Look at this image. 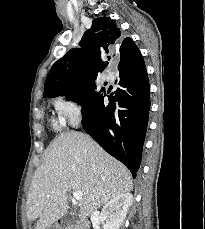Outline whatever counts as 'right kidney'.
Wrapping results in <instances>:
<instances>
[{
  "mask_svg": "<svg viewBox=\"0 0 205 229\" xmlns=\"http://www.w3.org/2000/svg\"><path fill=\"white\" fill-rule=\"evenodd\" d=\"M132 202L133 195L124 193L111 199L103 206L102 214L106 220V229H119Z\"/></svg>",
  "mask_w": 205,
  "mask_h": 229,
  "instance_id": "obj_1",
  "label": "right kidney"
}]
</instances>
